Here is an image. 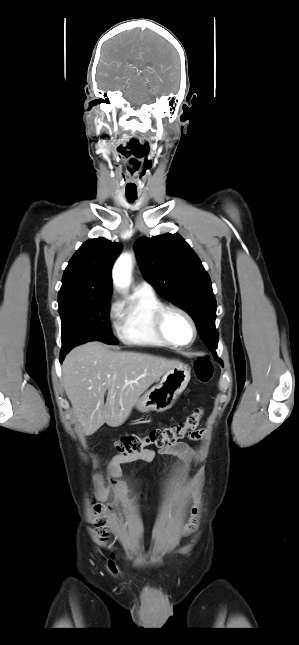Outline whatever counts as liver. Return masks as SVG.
I'll use <instances>...</instances> for the list:
<instances>
[{
    "label": "liver",
    "instance_id": "obj_1",
    "mask_svg": "<svg viewBox=\"0 0 299 645\" xmlns=\"http://www.w3.org/2000/svg\"><path fill=\"white\" fill-rule=\"evenodd\" d=\"M178 364L177 360L112 351L101 342H88L66 355L62 382L79 425L91 435L104 423L121 426L139 397Z\"/></svg>",
    "mask_w": 299,
    "mask_h": 645
}]
</instances>
